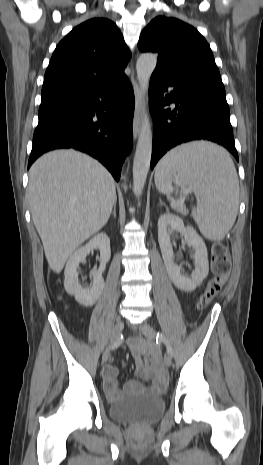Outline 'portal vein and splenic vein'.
Instances as JSON below:
<instances>
[{
	"label": "portal vein and splenic vein",
	"instance_id": "1",
	"mask_svg": "<svg viewBox=\"0 0 263 465\" xmlns=\"http://www.w3.org/2000/svg\"><path fill=\"white\" fill-rule=\"evenodd\" d=\"M190 191H191V189H184V195H183V197H182L180 200H178V201L173 200V201L171 202V204H170V205H171V208H176V206H177L179 203L182 204V203L184 202L186 196L189 194Z\"/></svg>",
	"mask_w": 263,
	"mask_h": 465
}]
</instances>
